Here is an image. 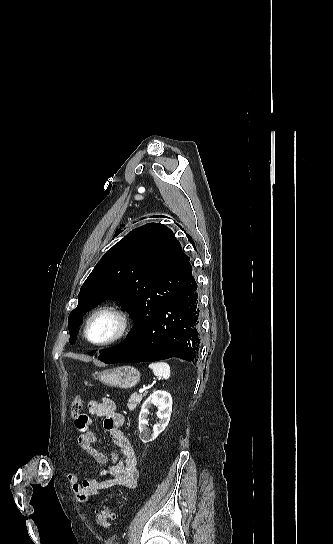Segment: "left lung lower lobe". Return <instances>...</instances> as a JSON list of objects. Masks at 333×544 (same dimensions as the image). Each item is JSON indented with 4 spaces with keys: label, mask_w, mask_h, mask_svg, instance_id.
<instances>
[{
    "label": "left lung lower lobe",
    "mask_w": 333,
    "mask_h": 544,
    "mask_svg": "<svg viewBox=\"0 0 333 544\" xmlns=\"http://www.w3.org/2000/svg\"><path fill=\"white\" fill-rule=\"evenodd\" d=\"M200 329L198 287L191 274L184 287L153 318L134 325L121 344L103 351L98 359L107 364L171 357L194 362L199 352Z\"/></svg>",
    "instance_id": "1"
}]
</instances>
